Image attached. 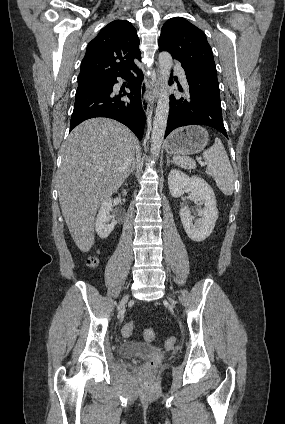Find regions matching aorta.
Here are the masks:
<instances>
[{"label": "aorta", "mask_w": 285, "mask_h": 424, "mask_svg": "<svg viewBox=\"0 0 285 424\" xmlns=\"http://www.w3.org/2000/svg\"><path fill=\"white\" fill-rule=\"evenodd\" d=\"M172 56L168 52L159 54V69L161 74V94L157 102L156 112L153 121V131L151 135V154L156 158L160 154V149L165 135L169 114V94L167 91L168 80L172 68Z\"/></svg>", "instance_id": "1"}]
</instances>
